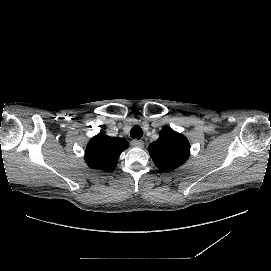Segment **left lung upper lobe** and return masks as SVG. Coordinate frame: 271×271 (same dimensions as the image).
I'll return each instance as SVG.
<instances>
[{
  "mask_svg": "<svg viewBox=\"0 0 271 271\" xmlns=\"http://www.w3.org/2000/svg\"><path fill=\"white\" fill-rule=\"evenodd\" d=\"M149 153L158 169L172 171L188 159L190 145L185 136L164 127L158 140L150 144Z\"/></svg>",
  "mask_w": 271,
  "mask_h": 271,
  "instance_id": "obj_1",
  "label": "left lung upper lobe"
}]
</instances>
